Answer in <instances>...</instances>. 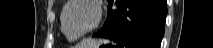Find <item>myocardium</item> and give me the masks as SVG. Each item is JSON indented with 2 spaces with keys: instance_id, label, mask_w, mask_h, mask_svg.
<instances>
[{
  "instance_id": "f54148a6",
  "label": "myocardium",
  "mask_w": 213,
  "mask_h": 48,
  "mask_svg": "<svg viewBox=\"0 0 213 48\" xmlns=\"http://www.w3.org/2000/svg\"><path fill=\"white\" fill-rule=\"evenodd\" d=\"M81 2L90 4L91 6L94 7V9L96 11V19H95L93 25L88 30L81 32V33H72L66 27V20H65L66 13L72 5H74L76 3H81ZM102 17H103V10H102V7H101L99 1H96V0H71V1H68L66 6L63 8V11L61 14V28H62L63 33L66 34L67 36L78 39V38L84 37L85 35H87L89 33H92L94 30H96L101 23Z\"/></svg>"
}]
</instances>
